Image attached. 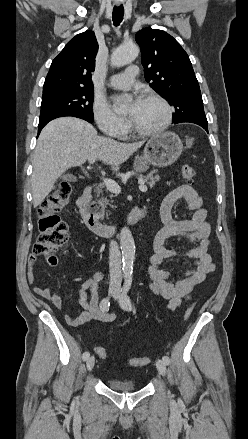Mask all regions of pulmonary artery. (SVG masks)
<instances>
[{"mask_svg": "<svg viewBox=\"0 0 248 439\" xmlns=\"http://www.w3.org/2000/svg\"><path fill=\"white\" fill-rule=\"evenodd\" d=\"M138 72L137 66L133 65L123 73H118L110 77L109 85L116 89H125L132 85Z\"/></svg>", "mask_w": 248, "mask_h": 439, "instance_id": "1", "label": "pulmonary artery"}]
</instances>
